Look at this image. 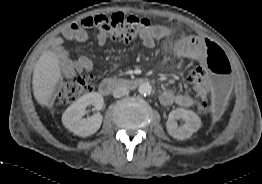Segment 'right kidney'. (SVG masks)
I'll list each match as a JSON object with an SVG mask.
<instances>
[{
	"instance_id": "1",
	"label": "right kidney",
	"mask_w": 262,
	"mask_h": 184,
	"mask_svg": "<svg viewBox=\"0 0 262 184\" xmlns=\"http://www.w3.org/2000/svg\"><path fill=\"white\" fill-rule=\"evenodd\" d=\"M103 104V97L96 92L83 95L64 111L62 123L67 129L78 136H90L100 128L103 118L99 112L90 117L83 118L86 107L92 105L95 110L99 111L102 109Z\"/></svg>"
}]
</instances>
